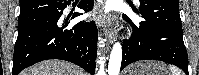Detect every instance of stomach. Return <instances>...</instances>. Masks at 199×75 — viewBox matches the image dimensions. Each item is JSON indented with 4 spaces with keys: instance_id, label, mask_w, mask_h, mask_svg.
Instances as JSON below:
<instances>
[{
    "instance_id": "stomach-1",
    "label": "stomach",
    "mask_w": 199,
    "mask_h": 75,
    "mask_svg": "<svg viewBox=\"0 0 199 75\" xmlns=\"http://www.w3.org/2000/svg\"><path fill=\"white\" fill-rule=\"evenodd\" d=\"M166 66L160 62L143 61L129 66L125 75H164Z\"/></svg>"
}]
</instances>
